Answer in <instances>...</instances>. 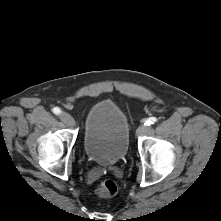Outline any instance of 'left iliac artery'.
Here are the masks:
<instances>
[{
    "label": "left iliac artery",
    "mask_w": 221,
    "mask_h": 221,
    "mask_svg": "<svg viewBox=\"0 0 221 221\" xmlns=\"http://www.w3.org/2000/svg\"><path fill=\"white\" fill-rule=\"evenodd\" d=\"M158 121V119L156 117H150L148 119L145 120V125H151V124H154Z\"/></svg>",
    "instance_id": "44dca946"
}]
</instances>
